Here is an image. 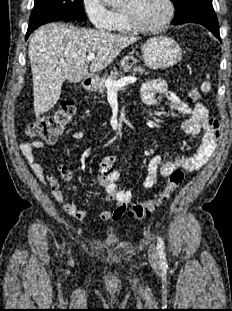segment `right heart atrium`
<instances>
[{
	"label": "right heart atrium",
	"instance_id": "obj_1",
	"mask_svg": "<svg viewBox=\"0 0 232 311\" xmlns=\"http://www.w3.org/2000/svg\"><path fill=\"white\" fill-rule=\"evenodd\" d=\"M82 5L94 29L108 31L113 28L116 14L107 6L105 0H82Z\"/></svg>",
	"mask_w": 232,
	"mask_h": 311
}]
</instances>
